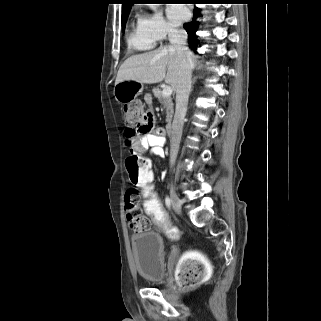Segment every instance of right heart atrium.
<instances>
[{
    "instance_id": "right-heart-atrium-1",
    "label": "right heart atrium",
    "mask_w": 321,
    "mask_h": 321,
    "mask_svg": "<svg viewBox=\"0 0 321 321\" xmlns=\"http://www.w3.org/2000/svg\"><path fill=\"white\" fill-rule=\"evenodd\" d=\"M138 24L155 41L164 40L176 33V29L158 11L141 14L138 18Z\"/></svg>"
}]
</instances>
